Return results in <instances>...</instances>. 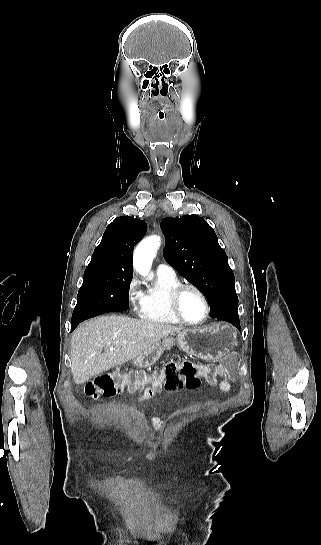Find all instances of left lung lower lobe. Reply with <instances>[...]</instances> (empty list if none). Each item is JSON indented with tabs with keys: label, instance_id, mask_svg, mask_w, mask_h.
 <instances>
[{
	"label": "left lung lower lobe",
	"instance_id": "obj_1",
	"mask_svg": "<svg viewBox=\"0 0 321 545\" xmlns=\"http://www.w3.org/2000/svg\"><path fill=\"white\" fill-rule=\"evenodd\" d=\"M210 316L217 320H224L232 323L238 330H240V322L238 317L237 306H231L221 311L211 312Z\"/></svg>",
	"mask_w": 321,
	"mask_h": 545
}]
</instances>
